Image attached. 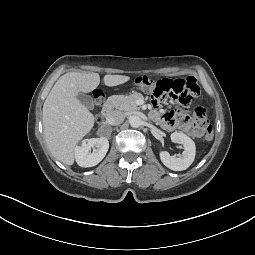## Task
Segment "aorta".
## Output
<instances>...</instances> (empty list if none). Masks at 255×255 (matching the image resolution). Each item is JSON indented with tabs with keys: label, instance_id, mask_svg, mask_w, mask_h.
<instances>
[{
	"label": "aorta",
	"instance_id": "obj_1",
	"mask_svg": "<svg viewBox=\"0 0 255 255\" xmlns=\"http://www.w3.org/2000/svg\"><path fill=\"white\" fill-rule=\"evenodd\" d=\"M129 123H130L131 127L138 128L139 126H141L142 120L138 116H131L129 119Z\"/></svg>",
	"mask_w": 255,
	"mask_h": 255
}]
</instances>
